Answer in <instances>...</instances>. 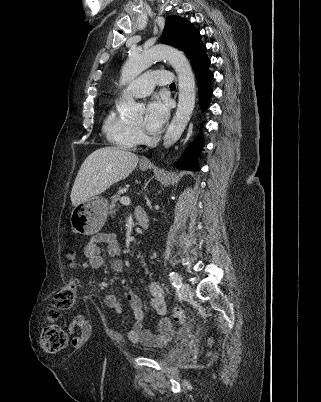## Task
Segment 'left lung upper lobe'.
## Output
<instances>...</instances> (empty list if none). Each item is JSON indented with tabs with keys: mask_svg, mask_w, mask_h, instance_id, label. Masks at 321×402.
<instances>
[{
	"mask_svg": "<svg viewBox=\"0 0 321 402\" xmlns=\"http://www.w3.org/2000/svg\"><path fill=\"white\" fill-rule=\"evenodd\" d=\"M161 41L183 51L189 58L195 48L202 44L200 33L195 27L178 16L167 18Z\"/></svg>",
	"mask_w": 321,
	"mask_h": 402,
	"instance_id": "5c2ea615",
	"label": "left lung upper lobe"
}]
</instances>
